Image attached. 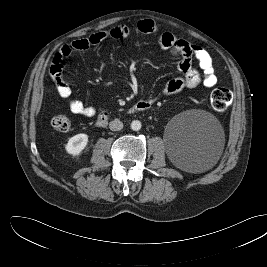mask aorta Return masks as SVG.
I'll return each instance as SVG.
<instances>
[{"instance_id":"aorta-1","label":"aorta","mask_w":267,"mask_h":267,"mask_svg":"<svg viewBox=\"0 0 267 267\" xmlns=\"http://www.w3.org/2000/svg\"><path fill=\"white\" fill-rule=\"evenodd\" d=\"M141 122L138 120H134L131 122V129L133 131H139L141 129Z\"/></svg>"}]
</instances>
